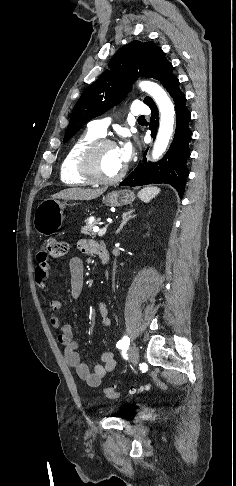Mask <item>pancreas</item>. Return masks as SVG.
<instances>
[{
    "instance_id": "obj_1",
    "label": "pancreas",
    "mask_w": 236,
    "mask_h": 486,
    "mask_svg": "<svg viewBox=\"0 0 236 486\" xmlns=\"http://www.w3.org/2000/svg\"><path fill=\"white\" fill-rule=\"evenodd\" d=\"M100 219H94L92 222L86 220V225L81 229V233L84 235H88L94 237L96 232L93 231V227L99 223Z\"/></svg>"
}]
</instances>
